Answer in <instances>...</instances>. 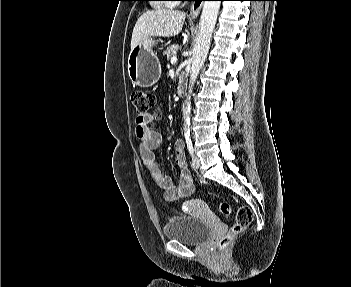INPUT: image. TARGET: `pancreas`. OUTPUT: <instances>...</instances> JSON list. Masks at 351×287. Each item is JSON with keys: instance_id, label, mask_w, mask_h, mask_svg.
Returning a JSON list of instances; mask_svg holds the SVG:
<instances>
[{"instance_id": "1", "label": "pancreas", "mask_w": 351, "mask_h": 287, "mask_svg": "<svg viewBox=\"0 0 351 287\" xmlns=\"http://www.w3.org/2000/svg\"><path fill=\"white\" fill-rule=\"evenodd\" d=\"M178 50V46L177 45H172L167 47V49L163 52V55L167 56V59H171L174 54L176 53V51Z\"/></svg>"}]
</instances>
